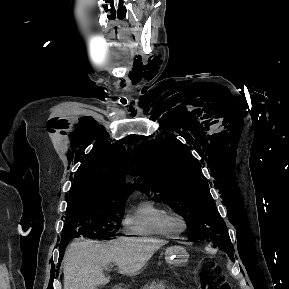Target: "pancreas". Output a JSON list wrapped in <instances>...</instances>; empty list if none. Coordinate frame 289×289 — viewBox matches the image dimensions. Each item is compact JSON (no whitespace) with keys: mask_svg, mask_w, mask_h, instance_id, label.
Here are the masks:
<instances>
[{"mask_svg":"<svg viewBox=\"0 0 289 289\" xmlns=\"http://www.w3.org/2000/svg\"><path fill=\"white\" fill-rule=\"evenodd\" d=\"M143 289H166V284L163 281H152L146 284Z\"/></svg>","mask_w":289,"mask_h":289,"instance_id":"obj_1","label":"pancreas"}]
</instances>
